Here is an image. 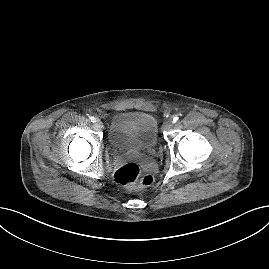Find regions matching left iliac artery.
<instances>
[{
  "label": "left iliac artery",
  "instance_id": "1",
  "mask_svg": "<svg viewBox=\"0 0 269 269\" xmlns=\"http://www.w3.org/2000/svg\"><path fill=\"white\" fill-rule=\"evenodd\" d=\"M178 120H179V117H178V116H175V117L173 118V123H176Z\"/></svg>",
  "mask_w": 269,
  "mask_h": 269
}]
</instances>
